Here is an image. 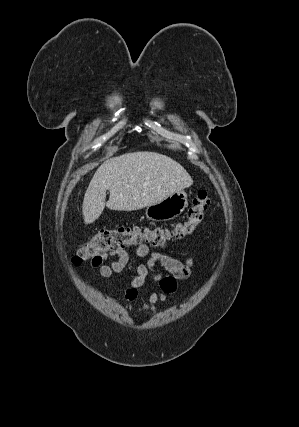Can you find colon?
I'll use <instances>...</instances> for the list:
<instances>
[{
  "label": "colon",
  "instance_id": "colon-1",
  "mask_svg": "<svg viewBox=\"0 0 299 427\" xmlns=\"http://www.w3.org/2000/svg\"><path fill=\"white\" fill-rule=\"evenodd\" d=\"M212 200L206 191H199L187 213V219L173 226H128L101 229L76 252L72 258L75 265L85 262L96 264L103 258L132 245L149 244L163 246L167 242L191 234L202 224Z\"/></svg>",
  "mask_w": 299,
  "mask_h": 427
}]
</instances>
